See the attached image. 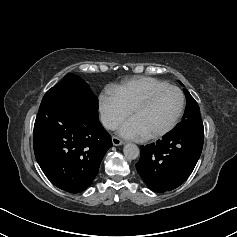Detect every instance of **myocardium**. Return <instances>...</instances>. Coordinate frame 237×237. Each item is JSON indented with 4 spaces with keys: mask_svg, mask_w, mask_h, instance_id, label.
<instances>
[{
    "mask_svg": "<svg viewBox=\"0 0 237 237\" xmlns=\"http://www.w3.org/2000/svg\"><path fill=\"white\" fill-rule=\"evenodd\" d=\"M165 90H175L179 94V96H180L179 109H178L176 115L174 116V118L171 120V122L166 127L159 130L158 132H155L153 134L145 136L144 138L146 140L159 139V138L163 137L164 135H166L167 133H169L178 124V122L184 112V108H185V96H184L183 92L181 91V89H179L178 87L173 86V85H166L163 87H159V88L153 89L152 91L148 92L146 95H144L138 101H136L129 110V116L131 117L132 114L137 109L142 108L145 105H147L148 103H150L155 96H157L158 94H160L161 92H163Z\"/></svg>",
    "mask_w": 237,
    "mask_h": 237,
    "instance_id": "obj_1",
    "label": "myocardium"
}]
</instances>
